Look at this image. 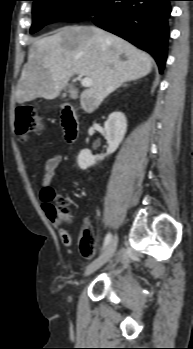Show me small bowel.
<instances>
[{
  "mask_svg": "<svg viewBox=\"0 0 193 349\" xmlns=\"http://www.w3.org/2000/svg\"><path fill=\"white\" fill-rule=\"evenodd\" d=\"M62 161V157L60 155H53L49 157L42 169V189L40 192V196L44 204L49 203L55 196L54 190L51 188V183L53 181L54 174L59 167ZM58 227V225H57ZM59 236L62 243L65 246H70L72 244L71 235L64 229L58 227ZM89 239L92 240V243L89 244ZM93 238L89 230L88 220L85 219L84 225L81 230L80 239H79V250L85 258H91L94 255V245Z\"/></svg>",
  "mask_w": 193,
  "mask_h": 349,
  "instance_id": "1",
  "label": "small bowel"
}]
</instances>
